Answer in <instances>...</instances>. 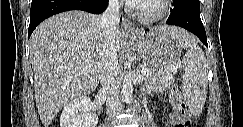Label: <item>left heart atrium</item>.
I'll use <instances>...</instances> for the list:
<instances>
[{
	"instance_id": "39dd6f15",
	"label": "left heart atrium",
	"mask_w": 243,
	"mask_h": 127,
	"mask_svg": "<svg viewBox=\"0 0 243 127\" xmlns=\"http://www.w3.org/2000/svg\"><path fill=\"white\" fill-rule=\"evenodd\" d=\"M141 2H143V1H141V0H128L127 1L128 4L133 5V6H135Z\"/></svg>"
}]
</instances>
